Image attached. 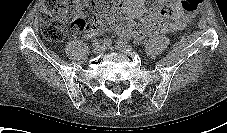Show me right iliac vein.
Listing matches in <instances>:
<instances>
[{
    "label": "right iliac vein",
    "instance_id": "right-iliac-vein-1",
    "mask_svg": "<svg viewBox=\"0 0 227 133\" xmlns=\"http://www.w3.org/2000/svg\"><path fill=\"white\" fill-rule=\"evenodd\" d=\"M105 46L104 45H96L94 48V52L97 54L102 53L105 50Z\"/></svg>",
    "mask_w": 227,
    "mask_h": 133
}]
</instances>
